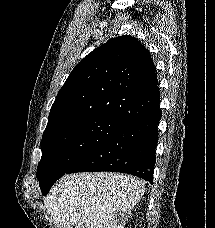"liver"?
<instances>
[{
  "mask_svg": "<svg viewBox=\"0 0 215 228\" xmlns=\"http://www.w3.org/2000/svg\"><path fill=\"white\" fill-rule=\"evenodd\" d=\"M144 192L136 176L83 172L58 180L44 204L59 228H125Z\"/></svg>",
  "mask_w": 215,
  "mask_h": 228,
  "instance_id": "liver-1",
  "label": "liver"
}]
</instances>
